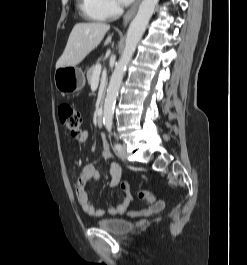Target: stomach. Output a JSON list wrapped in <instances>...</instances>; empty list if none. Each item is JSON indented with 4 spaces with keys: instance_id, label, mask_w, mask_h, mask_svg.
Masks as SVG:
<instances>
[{
    "instance_id": "1",
    "label": "stomach",
    "mask_w": 247,
    "mask_h": 265,
    "mask_svg": "<svg viewBox=\"0 0 247 265\" xmlns=\"http://www.w3.org/2000/svg\"><path fill=\"white\" fill-rule=\"evenodd\" d=\"M55 87L60 93L77 92L85 85V75L76 66L60 67L54 74Z\"/></svg>"
}]
</instances>
